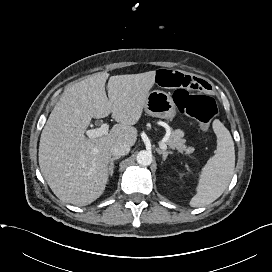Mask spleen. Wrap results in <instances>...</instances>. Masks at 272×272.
I'll return each mask as SVG.
<instances>
[{
	"mask_svg": "<svg viewBox=\"0 0 272 272\" xmlns=\"http://www.w3.org/2000/svg\"><path fill=\"white\" fill-rule=\"evenodd\" d=\"M212 127L217 137V150L199 176L197 193L189 203L191 207L206 206L218 199L234 174L235 149L231 134L218 119L213 121Z\"/></svg>",
	"mask_w": 272,
	"mask_h": 272,
	"instance_id": "obj_1",
	"label": "spleen"
}]
</instances>
